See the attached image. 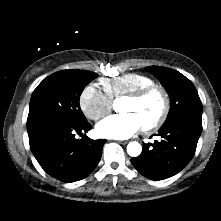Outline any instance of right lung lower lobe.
<instances>
[{"instance_id":"right-lung-lower-lobe-1","label":"right lung lower lobe","mask_w":221,"mask_h":221,"mask_svg":"<svg viewBox=\"0 0 221 221\" xmlns=\"http://www.w3.org/2000/svg\"><path fill=\"white\" fill-rule=\"evenodd\" d=\"M92 128L87 121H51L28 132L32 153L43 170L66 183L86 178L97 166L105 140L87 136L76 139Z\"/></svg>"}]
</instances>
